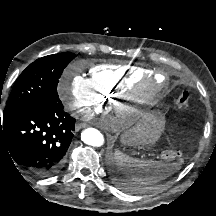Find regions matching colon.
Masks as SVG:
<instances>
[{"label":"colon","instance_id":"colon-1","mask_svg":"<svg viewBox=\"0 0 216 216\" xmlns=\"http://www.w3.org/2000/svg\"><path fill=\"white\" fill-rule=\"evenodd\" d=\"M176 106L179 109H187L190 106V94L186 91L181 92L176 98ZM163 158L173 160L181 157V152L178 149H168L162 154Z\"/></svg>","mask_w":216,"mask_h":216}]
</instances>
